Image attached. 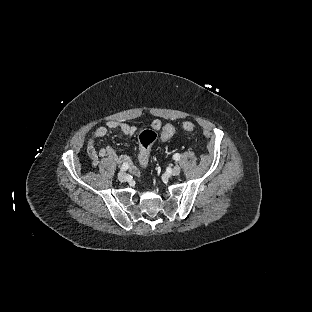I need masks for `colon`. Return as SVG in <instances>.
Returning <instances> with one entry per match:
<instances>
[{
	"label": "colon",
	"mask_w": 312,
	"mask_h": 312,
	"mask_svg": "<svg viewBox=\"0 0 312 312\" xmlns=\"http://www.w3.org/2000/svg\"><path fill=\"white\" fill-rule=\"evenodd\" d=\"M159 129L158 123H153L151 125V129L145 130L139 137V155L138 159L140 162L141 167H146L149 159H150V147L152 143L157 138V130ZM183 131L190 133L193 131L194 126L192 123L187 122L183 124L182 126ZM174 130V127L170 123H166L163 125L160 134L164 138H168L171 136L172 132Z\"/></svg>",
	"instance_id": "1"
}]
</instances>
